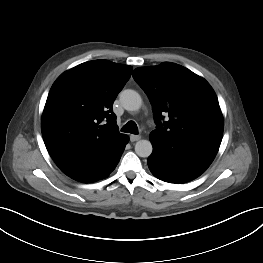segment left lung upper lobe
<instances>
[{
  "mask_svg": "<svg viewBox=\"0 0 263 263\" xmlns=\"http://www.w3.org/2000/svg\"><path fill=\"white\" fill-rule=\"evenodd\" d=\"M133 78L152 104L157 124L152 133L220 146L223 116L217 96L205 79L170 62L136 68ZM163 115L169 120L162 122Z\"/></svg>",
  "mask_w": 263,
  "mask_h": 263,
  "instance_id": "5c2ea615",
  "label": "left lung upper lobe"
}]
</instances>
